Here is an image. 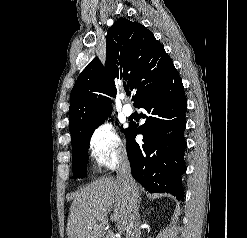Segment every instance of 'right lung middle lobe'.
<instances>
[{"label": "right lung middle lobe", "instance_id": "dd1d6c3e", "mask_svg": "<svg viewBox=\"0 0 247 238\" xmlns=\"http://www.w3.org/2000/svg\"><path fill=\"white\" fill-rule=\"evenodd\" d=\"M99 125L90 129L85 135H83L75 144L72 145V168L74 178H84L86 175L87 160H88V148L90 144V138L94 130ZM126 133L127 129L121 130Z\"/></svg>", "mask_w": 247, "mask_h": 238}]
</instances>
